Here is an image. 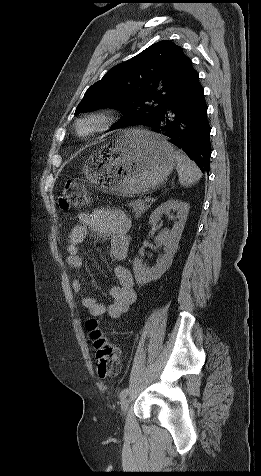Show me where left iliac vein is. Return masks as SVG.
<instances>
[{
	"mask_svg": "<svg viewBox=\"0 0 261 476\" xmlns=\"http://www.w3.org/2000/svg\"><path fill=\"white\" fill-rule=\"evenodd\" d=\"M128 406H129V400L128 398L125 396L122 398L121 400V411H122V414L125 416L126 413H127V410H128Z\"/></svg>",
	"mask_w": 261,
	"mask_h": 476,
	"instance_id": "1",
	"label": "left iliac vein"
}]
</instances>
